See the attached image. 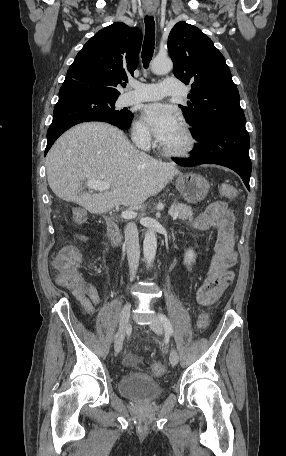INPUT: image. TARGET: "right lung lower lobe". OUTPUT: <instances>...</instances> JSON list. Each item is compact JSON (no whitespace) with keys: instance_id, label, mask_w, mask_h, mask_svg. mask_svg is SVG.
Here are the masks:
<instances>
[{"instance_id":"1","label":"right lung lower lobe","mask_w":286,"mask_h":456,"mask_svg":"<svg viewBox=\"0 0 286 456\" xmlns=\"http://www.w3.org/2000/svg\"><path fill=\"white\" fill-rule=\"evenodd\" d=\"M105 99L95 92L76 85H63L59 91V100L53 112V121L47 131L45 155L55 140L70 127L88 121H102L128 129L130 124L122 125L108 121L100 115L99 109Z\"/></svg>"}]
</instances>
